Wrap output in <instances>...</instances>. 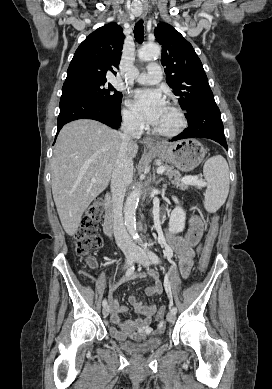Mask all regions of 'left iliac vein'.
<instances>
[{
  "mask_svg": "<svg viewBox=\"0 0 272 389\" xmlns=\"http://www.w3.org/2000/svg\"><path fill=\"white\" fill-rule=\"evenodd\" d=\"M135 261L137 263L145 266V267L150 265V260H149V258L147 256L146 252L143 249L139 248V247H137L135 249ZM167 321L170 322V323L174 322L175 321V314H173L171 312L168 313Z\"/></svg>",
  "mask_w": 272,
  "mask_h": 389,
  "instance_id": "4c4485c4",
  "label": "left iliac vein"
}]
</instances>
